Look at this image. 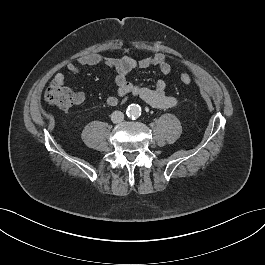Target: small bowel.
Listing matches in <instances>:
<instances>
[{
  "instance_id": "c3829d8e",
  "label": "small bowel",
  "mask_w": 265,
  "mask_h": 265,
  "mask_svg": "<svg viewBox=\"0 0 265 265\" xmlns=\"http://www.w3.org/2000/svg\"><path fill=\"white\" fill-rule=\"evenodd\" d=\"M100 64L113 68L116 71L115 82L117 89L114 93L108 95L106 100L110 106L117 105L130 94L138 96L144 102L155 108H171L177 105V98L167 93V82L164 79L158 80L153 88L137 86L128 81V75L136 68L145 69L155 66L164 75L171 74L172 66L163 53H155L140 59L129 56L117 58L104 56L99 53H91L80 56L77 63H68L66 68L71 74L76 75L80 71L79 66H94ZM54 81L63 84L64 75L62 73H56ZM85 99L86 96L84 92L77 91L74 93L75 106L81 105Z\"/></svg>"
}]
</instances>
